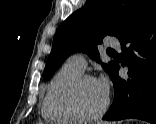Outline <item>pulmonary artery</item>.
<instances>
[{"label":"pulmonary artery","mask_w":156,"mask_h":124,"mask_svg":"<svg viewBox=\"0 0 156 124\" xmlns=\"http://www.w3.org/2000/svg\"><path fill=\"white\" fill-rule=\"evenodd\" d=\"M106 46L119 47V41L116 38H108L105 41ZM65 64L73 69L83 72L87 66L86 56L83 53L71 55Z\"/></svg>","instance_id":"pulmonary-artery-1"}]
</instances>
